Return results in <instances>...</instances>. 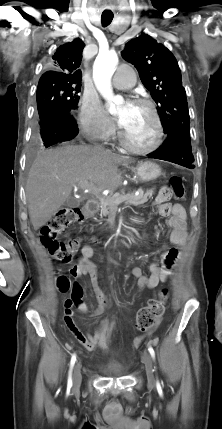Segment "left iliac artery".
Returning <instances> with one entry per match:
<instances>
[{
	"mask_svg": "<svg viewBox=\"0 0 222 429\" xmlns=\"http://www.w3.org/2000/svg\"><path fill=\"white\" fill-rule=\"evenodd\" d=\"M148 351H149L150 355L152 356V358L155 359V351H154V349L151 346H149Z\"/></svg>",
	"mask_w": 222,
	"mask_h": 429,
	"instance_id": "1",
	"label": "left iliac artery"
}]
</instances>
